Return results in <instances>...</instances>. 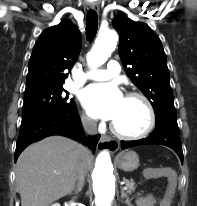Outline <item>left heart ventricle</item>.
Returning a JSON list of instances; mask_svg holds the SVG:
<instances>
[{"label": "left heart ventricle", "instance_id": "b2bd125f", "mask_svg": "<svg viewBox=\"0 0 197 206\" xmlns=\"http://www.w3.org/2000/svg\"><path fill=\"white\" fill-rule=\"evenodd\" d=\"M148 121L144 104L135 98H124L119 115L113 123L122 132L138 133L142 131Z\"/></svg>", "mask_w": 197, "mask_h": 206}]
</instances>
